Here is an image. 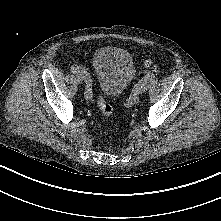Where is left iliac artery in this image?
Returning a JSON list of instances; mask_svg holds the SVG:
<instances>
[{"instance_id":"obj_1","label":"left iliac artery","mask_w":221,"mask_h":221,"mask_svg":"<svg viewBox=\"0 0 221 221\" xmlns=\"http://www.w3.org/2000/svg\"><path fill=\"white\" fill-rule=\"evenodd\" d=\"M155 78V75L150 73V74H147L140 82V84L138 86H136L133 90V93L131 94V96L129 97V99L127 100L126 102V106L127 107H131L134 105V103L136 102V99H137V95H138V92L140 90V85L141 83L143 82H148V81H151L152 79Z\"/></svg>"}]
</instances>
